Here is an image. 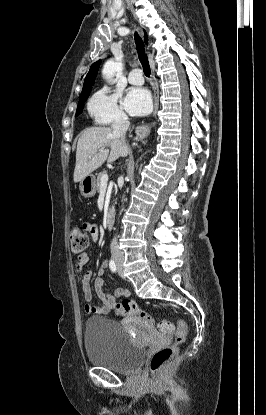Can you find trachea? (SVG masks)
Here are the masks:
<instances>
[{"label": "trachea", "instance_id": "1", "mask_svg": "<svg viewBox=\"0 0 266 415\" xmlns=\"http://www.w3.org/2000/svg\"><path fill=\"white\" fill-rule=\"evenodd\" d=\"M135 44H136V50L139 56V60L142 64L144 73L147 77H149L151 74L149 61L145 54L144 43L141 37L137 33H135Z\"/></svg>", "mask_w": 266, "mask_h": 415}]
</instances>
